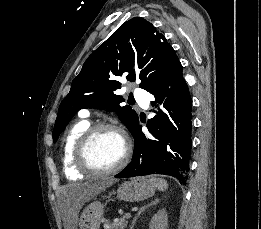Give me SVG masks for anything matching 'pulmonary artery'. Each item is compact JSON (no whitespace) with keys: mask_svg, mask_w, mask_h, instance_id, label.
<instances>
[{"mask_svg":"<svg viewBox=\"0 0 261 229\" xmlns=\"http://www.w3.org/2000/svg\"><path fill=\"white\" fill-rule=\"evenodd\" d=\"M135 96L137 100V105H139V109H141L142 112H147L148 111V105H149V100H150V91H147L146 89H137L134 91ZM83 115L86 117L90 116V110L89 109H84Z\"/></svg>","mask_w":261,"mask_h":229,"instance_id":"1","label":"pulmonary artery"}]
</instances>
